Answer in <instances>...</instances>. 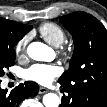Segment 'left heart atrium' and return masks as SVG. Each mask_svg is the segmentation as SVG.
Here are the masks:
<instances>
[{
	"mask_svg": "<svg viewBox=\"0 0 107 107\" xmlns=\"http://www.w3.org/2000/svg\"><path fill=\"white\" fill-rule=\"evenodd\" d=\"M59 73V68L54 65L34 64L24 71L23 77L26 80L41 85H48L59 75Z\"/></svg>",
	"mask_w": 107,
	"mask_h": 107,
	"instance_id": "obj_1",
	"label": "left heart atrium"
}]
</instances>
